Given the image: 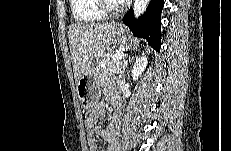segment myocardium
Instances as JSON below:
<instances>
[{"instance_id": "f54148a6", "label": "myocardium", "mask_w": 231, "mask_h": 151, "mask_svg": "<svg viewBox=\"0 0 231 151\" xmlns=\"http://www.w3.org/2000/svg\"><path fill=\"white\" fill-rule=\"evenodd\" d=\"M96 7L104 18H114L124 11L123 4L113 7L109 0H97Z\"/></svg>"}]
</instances>
